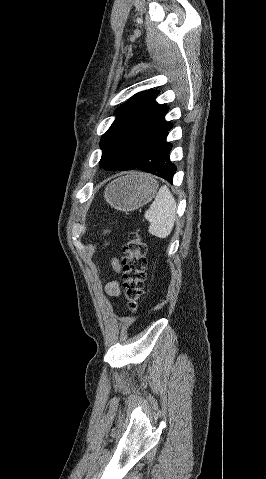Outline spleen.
<instances>
[{
  "label": "spleen",
  "mask_w": 266,
  "mask_h": 479,
  "mask_svg": "<svg viewBox=\"0 0 266 479\" xmlns=\"http://www.w3.org/2000/svg\"><path fill=\"white\" fill-rule=\"evenodd\" d=\"M176 208L172 193L167 186H162L144 214L145 219L150 222L148 232L158 238L168 237L176 220Z\"/></svg>",
  "instance_id": "spleen-1"
}]
</instances>
